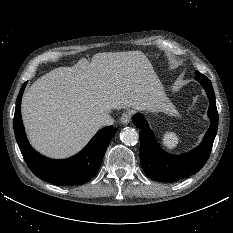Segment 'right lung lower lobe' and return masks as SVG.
Segmentation results:
<instances>
[{
	"mask_svg": "<svg viewBox=\"0 0 233 233\" xmlns=\"http://www.w3.org/2000/svg\"><path fill=\"white\" fill-rule=\"evenodd\" d=\"M27 82L19 92L14 114L16 141L30 170L40 179L59 186L80 185L97 173L107 146L117 129L108 126L98 131L85 148L65 160H53L40 155L29 144L21 118V98Z\"/></svg>",
	"mask_w": 233,
	"mask_h": 233,
	"instance_id": "obj_1",
	"label": "right lung lower lobe"
}]
</instances>
